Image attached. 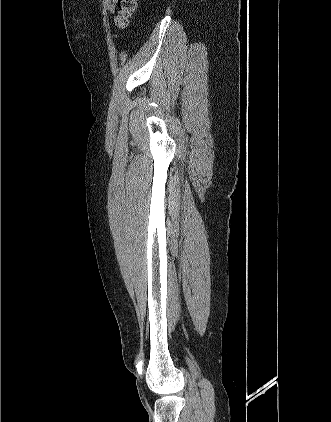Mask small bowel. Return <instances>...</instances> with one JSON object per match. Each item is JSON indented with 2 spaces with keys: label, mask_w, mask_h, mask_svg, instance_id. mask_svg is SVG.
I'll use <instances>...</instances> for the list:
<instances>
[{
  "label": "small bowel",
  "mask_w": 331,
  "mask_h": 422,
  "mask_svg": "<svg viewBox=\"0 0 331 422\" xmlns=\"http://www.w3.org/2000/svg\"><path fill=\"white\" fill-rule=\"evenodd\" d=\"M119 0H102L104 10L109 14H114Z\"/></svg>",
  "instance_id": "obj_1"
}]
</instances>
